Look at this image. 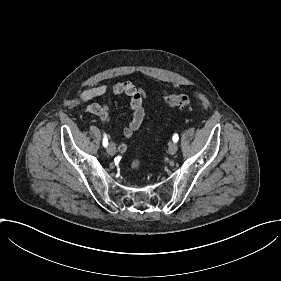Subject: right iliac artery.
Returning <instances> with one entry per match:
<instances>
[{"label":"right iliac artery","mask_w":281,"mask_h":281,"mask_svg":"<svg viewBox=\"0 0 281 281\" xmlns=\"http://www.w3.org/2000/svg\"><path fill=\"white\" fill-rule=\"evenodd\" d=\"M107 145H108V139H107L106 135H104V138H103V146H104V147H107Z\"/></svg>","instance_id":"obj_1"}]
</instances>
